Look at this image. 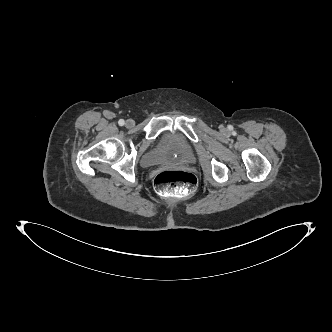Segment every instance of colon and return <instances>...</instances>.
Instances as JSON below:
<instances>
[{
	"instance_id": "obj_1",
	"label": "colon",
	"mask_w": 332,
	"mask_h": 332,
	"mask_svg": "<svg viewBox=\"0 0 332 332\" xmlns=\"http://www.w3.org/2000/svg\"><path fill=\"white\" fill-rule=\"evenodd\" d=\"M154 188L162 195L183 197L193 193L197 187L194 174L181 170H164L154 177Z\"/></svg>"
}]
</instances>
